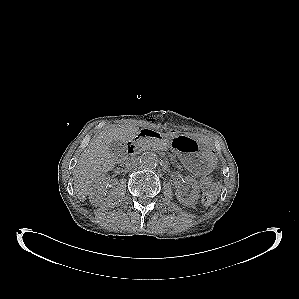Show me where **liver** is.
I'll return each instance as SVG.
<instances>
[{
  "label": "liver",
  "instance_id": "1",
  "mask_svg": "<svg viewBox=\"0 0 299 299\" xmlns=\"http://www.w3.org/2000/svg\"><path fill=\"white\" fill-rule=\"evenodd\" d=\"M138 132L135 126L122 125L104 129L94 135L73 170L74 190L81 202L86 200L95 180L114 168L117 156L109 150L112 141L126 143L135 138Z\"/></svg>",
  "mask_w": 299,
  "mask_h": 299
}]
</instances>
